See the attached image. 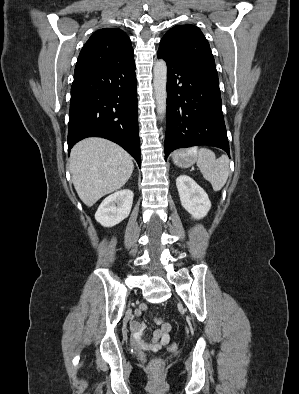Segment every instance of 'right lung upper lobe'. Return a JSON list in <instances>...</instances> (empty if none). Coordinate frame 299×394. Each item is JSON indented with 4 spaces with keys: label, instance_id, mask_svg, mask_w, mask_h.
I'll return each mask as SVG.
<instances>
[{
    "label": "right lung upper lobe",
    "instance_id": "cb5924a9",
    "mask_svg": "<svg viewBox=\"0 0 299 394\" xmlns=\"http://www.w3.org/2000/svg\"><path fill=\"white\" fill-rule=\"evenodd\" d=\"M132 61L134 51L125 32L121 29L103 28L97 30L82 48L74 73Z\"/></svg>",
    "mask_w": 299,
    "mask_h": 394
}]
</instances>
